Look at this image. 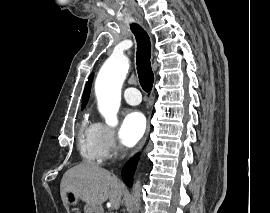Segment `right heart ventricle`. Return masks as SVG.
Segmentation results:
<instances>
[{"label":"right heart ventricle","mask_w":270,"mask_h":213,"mask_svg":"<svg viewBox=\"0 0 270 213\" xmlns=\"http://www.w3.org/2000/svg\"><path fill=\"white\" fill-rule=\"evenodd\" d=\"M78 150L81 157L92 163H102L106 153L101 141V126L85 116L78 130Z\"/></svg>","instance_id":"e07e8e85"}]
</instances>
